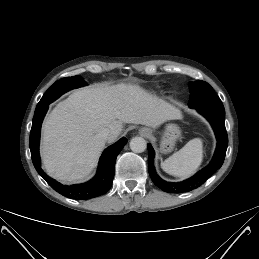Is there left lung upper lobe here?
Instances as JSON below:
<instances>
[{"label": "left lung upper lobe", "mask_w": 259, "mask_h": 259, "mask_svg": "<svg viewBox=\"0 0 259 259\" xmlns=\"http://www.w3.org/2000/svg\"><path fill=\"white\" fill-rule=\"evenodd\" d=\"M190 99L189 107L203 104L220 103L221 100L213 88L205 81L197 80L189 83Z\"/></svg>", "instance_id": "1"}]
</instances>
